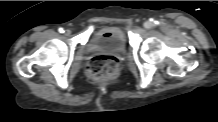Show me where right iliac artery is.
Listing matches in <instances>:
<instances>
[{
  "instance_id": "1",
  "label": "right iliac artery",
  "mask_w": 218,
  "mask_h": 122,
  "mask_svg": "<svg viewBox=\"0 0 218 122\" xmlns=\"http://www.w3.org/2000/svg\"><path fill=\"white\" fill-rule=\"evenodd\" d=\"M58 31H59L60 33H64V29L61 28V27L58 29Z\"/></svg>"
}]
</instances>
